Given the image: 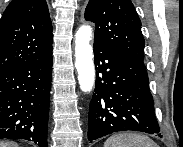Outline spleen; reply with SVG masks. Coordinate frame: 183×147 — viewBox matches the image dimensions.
<instances>
[{
	"label": "spleen",
	"mask_w": 183,
	"mask_h": 147,
	"mask_svg": "<svg viewBox=\"0 0 183 147\" xmlns=\"http://www.w3.org/2000/svg\"><path fill=\"white\" fill-rule=\"evenodd\" d=\"M104 147H158L148 136L136 133H119L109 137Z\"/></svg>",
	"instance_id": "1"
}]
</instances>
